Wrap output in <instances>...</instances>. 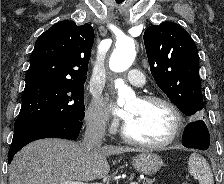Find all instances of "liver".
<instances>
[{
    "instance_id": "1",
    "label": "liver",
    "mask_w": 224,
    "mask_h": 184,
    "mask_svg": "<svg viewBox=\"0 0 224 184\" xmlns=\"http://www.w3.org/2000/svg\"><path fill=\"white\" fill-rule=\"evenodd\" d=\"M140 151L105 145L86 152L81 144L72 141L37 140L14 156L9 167V184H60L101 179L110 171L107 156Z\"/></svg>"
}]
</instances>
